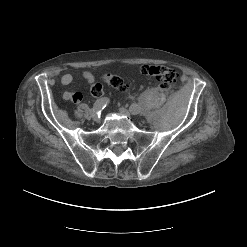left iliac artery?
Segmentation results:
<instances>
[{"label":"left iliac artery","instance_id":"left-iliac-artery-1","mask_svg":"<svg viewBox=\"0 0 247 247\" xmlns=\"http://www.w3.org/2000/svg\"><path fill=\"white\" fill-rule=\"evenodd\" d=\"M130 113L132 115H138L140 113V107L137 104H132L130 107Z\"/></svg>","mask_w":247,"mask_h":247}]
</instances>
